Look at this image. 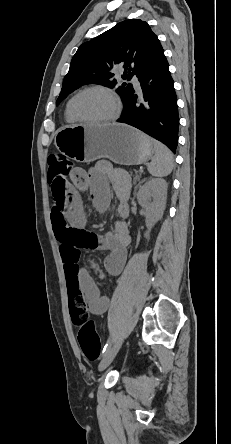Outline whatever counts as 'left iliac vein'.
I'll return each mask as SVG.
<instances>
[{
    "mask_svg": "<svg viewBox=\"0 0 231 444\" xmlns=\"http://www.w3.org/2000/svg\"><path fill=\"white\" fill-rule=\"evenodd\" d=\"M123 343V338H120L106 353L103 354V357L99 363V370H104L115 358L116 354L120 350Z\"/></svg>",
    "mask_w": 231,
    "mask_h": 444,
    "instance_id": "obj_1",
    "label": "left iliac vein"
}]
</instances>
